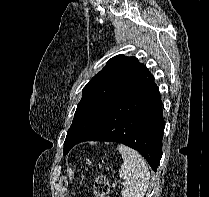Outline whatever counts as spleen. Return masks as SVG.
I'll return each mask as SVG.
<instances>
[{"instance_id": "obj_1", "label": "spleen", "mask_w": 209, "mask_h": 197, "mask_svg": "<svg viewBox=\"0 0 209 197\" xmlns=\"http://www.w3.org/2000/svg\"><path fill=\"white\" fill-rule=\"evenodd\" d=\"M123 164L119 176L126 183L121 191L122 197H144L149 186V169L144 158L136 151L123 144L118 145Z\"/></svg>"}]
</instances>
